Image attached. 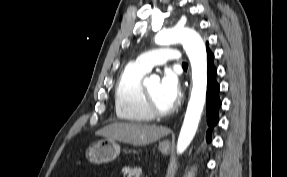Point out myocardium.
<instances>
[{
    "label": "myocardium",
    "instance_id": "myocardium-1",
    "mask_svg": "<svg viewBox=\"0 0 287 177\" xmlns=\"http://www.w3.org/2000/svg\"><path fill=\"white\" fill-rule=\"evenodd\" d=\"M143 97H144L145 107L147 111L152 115V117H165V116L172 114L175 110L174 106H172L171 108L167 110L160 109L156 105L147 87H143Z\"/></svg>",
    "mask_w": 287,
    "mask_h": 177
}]
</instances>
